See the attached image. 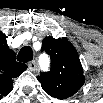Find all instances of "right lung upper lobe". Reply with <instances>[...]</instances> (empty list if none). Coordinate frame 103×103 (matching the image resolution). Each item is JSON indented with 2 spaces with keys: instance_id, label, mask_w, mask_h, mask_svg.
<instances>
[{
  "instance_id": "1",
  "label": "right lung upper lobe",
  "mask_w": 103,
  "mask_h": 103,
  "mask_svg": "<svg viewBox=\"0 0 103 103\" xmlns=\"http://www.w3.org/2000/svg\"><path fill=\"white\" fill-rule=\"evenodd\" d=\"M6 35L0 32V91L6 95L12 90L13 78L19 76L27 66L15 61L16 54L9 49Z\"/></svg>"
}]
</instances>
